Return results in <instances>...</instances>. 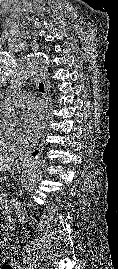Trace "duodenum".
<instances>
[{
	"label": "duodenum",
	"mask_w": 118,
	"mask_h": 269,
	"mask_svg": "<svg viewBox=\"0 0 118 269\" xmlns=\"http://www.w3.org/2000/svg\"><path fill=\"white\" fill-rule=\"evenodd\" d=\"M18 219L20 222H25L26 221V214L24 212H19Z\"/></svg>",
	"instance_id": "obj_1"
}]
</instances>
